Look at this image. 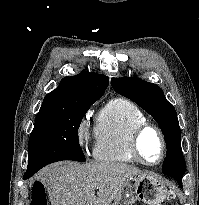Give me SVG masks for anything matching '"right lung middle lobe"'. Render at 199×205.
<instances>
[{
  "label": "right lung middle lobe",
  "instance_id": "1",
  "mask_svg": "<svg viewBox=\"0 0 199 205\" xmlns=\"http://www.w3.org/2000/svg\"><path fill=\"white\" fill-rule=\"evenodd\" d=\"M97 100L86 99L39 111L29 138L26 176L60 160L86 161L77 133L82 118Z\"/></svg>",
  "mask_w": 199,
  "mask_h": 205
}]
</instances>
